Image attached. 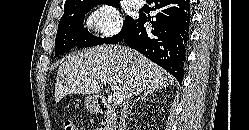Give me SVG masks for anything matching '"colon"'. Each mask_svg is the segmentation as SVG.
Here are the masks:
<instances>
[{"label":"colon","mask_w":249,"mask_h":130,"mask_svg":"<svg viewBox=\"0 0 249 130\" xmlns=\"http://www.w3.org/2000/svg\"><path fill=\"white\" fill-rule=\"evenodd\" d=\"M62 128L63 130H83L72 120L64 121Z\"/></svg>","instance_id":"1"}]
</instances>
